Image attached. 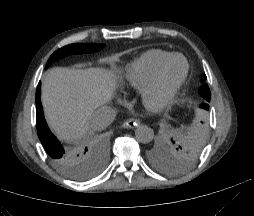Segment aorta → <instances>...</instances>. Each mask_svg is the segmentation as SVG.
Here are the masks:
<instances>
[{"label":"aorta","instance_id":"obj_1","mask_svg":"<svg viewBox=\"0 0 254 216\" xmlns=\"http://www.w3.org/2000/svg\"><path fill=\"white\" fill-rule=\"evenodd\" d=\"M135 137L141 143H149L154 138L153 129L147 125H139L135 130Z\"/></svg>","mask_w":254,"mask_h":216}]
</instances>
